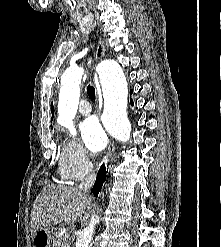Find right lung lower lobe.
<instances>
[{"mask_svg":"<svg viewBox=\"0 0 221 247\" xmlns=\"http://www.w3.org/2000/svg\"><path fill=\"white\" fill-rule=\"evenodd\" d=\"M105 180H106V168L104 165H102L99 169L95 184H94L93 189H92V192H93L95 197L98 196V193L100 192L101 187H102L103 183L105 182Z\"/></svg>","mask_w":221,"mask_h":247,"instance_id":"right-lung-lower-lobe-1","label":"right lung lower lobe"}]
</instances>
